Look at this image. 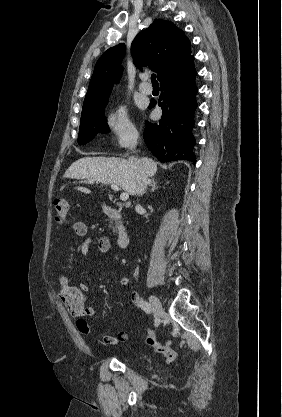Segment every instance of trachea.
Segmentation results:
<instances>
[{"instance_id":"1","label":"trachea","mask_w":282,"mask_h":417,"mask_svg":"<svg viewBox=\"0 0 282 417\" xmlns=\"http://www.w3.org/2000/svg\"><path fill=\"white\" fill-rule=\"evenodd\" d=\"M151 80H152V86L159 87V83L156 80V75L155 74L151 75Z\"/></svg>"}]
</instances>
